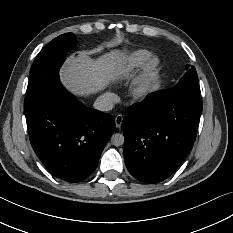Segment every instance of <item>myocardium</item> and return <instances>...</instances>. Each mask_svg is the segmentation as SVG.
Listing matches in <instances>:
<instances>
[{"mask_svg":"<svg viewBox=\"0 0 233 233\" xmlns=\"http://www.w3.org/2000/svg\"><path fill=\"white\" fill-rule=\"evenodd\" d=\"M162 69V60L157 56L151 57L131 83L129 90L131 97L137 101L146 100L158 85Z\"/></svg>","mask_w":233,"mask_h":233,"instance_id":"f54148a6","label":"myocardium"}]
</instances>
